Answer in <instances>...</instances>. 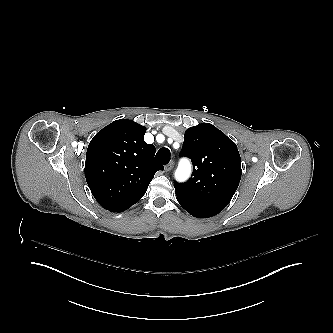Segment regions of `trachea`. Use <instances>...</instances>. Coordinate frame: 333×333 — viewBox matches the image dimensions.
Masks as SVG:
<instances>
[{"label": "trachea", "instance_id": "3493384b", "mask_svg": "<svg viewBox=\"0 0 333 333\" xmlns=\"http://www.w3.org/2000/svg\"><path fill=\"white\" fill-rule=\"evenodd\" d=\"M170 158H171V153L168 148H161L156 154L157 161L164 165L170 161Z\"/></svg>", "mask_w": 333, "mask_h": 333}]
</instances>
